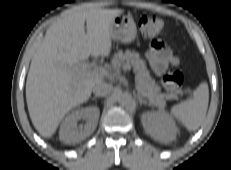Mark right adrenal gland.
Returning <instances> with one entry per match:
<instances>
[{
	"label": "right adrenal gland",
	"instance_id": "2a0ac1e0",
	"mask_svg": "<svg viewBox=\"0 0 231 170\" xmlns=\"http://www.w3.org/2000/svg\"><path fill=\"white\" fill-rule=\"evenodd\" d=\"M98 97L97 96H94L93 99L96 100Z\"/></svg>",
	"mask_w": 231,
	"mask_h": 170
}]
</instances>
